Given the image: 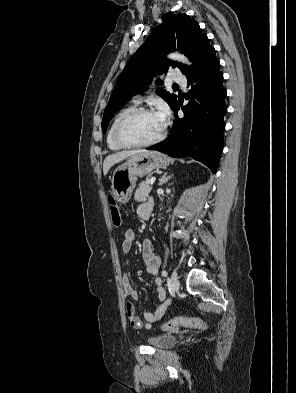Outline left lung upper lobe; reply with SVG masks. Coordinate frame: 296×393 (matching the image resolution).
<instances>
[{"mask_svg": "<svg viewBox=\"0 0 296 393\" xmlns=\"http://www.w3.org/2000/svg\"><path fill=\"white\" fill-rule=\"evenodd\" d=\"M185 53L193 64L187 67L166 59L170 51ZM214 50L207 36L201 33L198 23L186 14H165L163 23L153 30L144 44L128 61L119 75L115 88L105 108L102 130L105 133L113 114L122 108L132 96L147 90L156 74L166 73L170 66L178 67L188 77L192 75ZM157 83H161L160 80ZM172 110L178 103L177 95L159 90Z\"/></svg>", "mask_w": 296, "mask_h": 393, "instance_id": "5c2ea615", "label": "left lung upper lobe"}]
</instances>
